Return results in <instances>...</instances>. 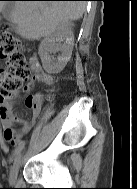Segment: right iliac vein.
I'll list each match as a JSON object with an SVG mask.
<instances>
[{"label": "right iliac vein", "mask_w": 137, "mask_h": 189, "mask_svg": "<svg viewBox=\"0 0 137 189\" xmlns=\"http://www.w3.org/2000/svg\"><path fill=\"white\" fill-rule=\"evenodd\" d=\"M21 159H22V155L19 154L15 157L13 164L10 168V172H9V181L10 183H14L16 181L17 178V174L20 168V164H21Z\"/></svg>", "instance_id": "1"}]
</instances>
